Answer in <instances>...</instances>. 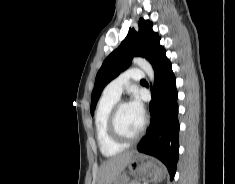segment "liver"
<instances>
[{
  "mask_svg": "<svg viewBox=\"0 0 235 184\" xmlns=\"http://www.w3.org/2000/svg\"><path fill=\"white\" fill-rule=\"evenodd\" d=\"M134 152H124L120 156H113L103 162L99 168L97 184H112L113 180L124 172Z\"/></svg>",
  "mask_w": 235,
  "mask_h": 184,
  "instance_id": "1",
  "label": "liver"
}]
</instances>
